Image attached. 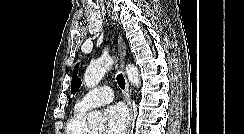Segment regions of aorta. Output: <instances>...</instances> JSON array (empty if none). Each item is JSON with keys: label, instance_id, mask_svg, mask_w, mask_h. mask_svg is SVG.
Masks as SVG:
<instances>
[{"label": "aorta", "instance_id": "1", "mask_svg": "<svg viewBox=\"0 0 244 134\" xmlns=\"http://www.w3.org/2000/svg\"><path fill=\"white\" fill-rule=\"evenodd\" d=\"M114 60L111 57H101L100 59L91 62L84 74V83L87 88H94L104 77L107 70L111 67ZM128 80L136 87L141 84L138 68L134 65L126 67ZM87 121L91 126L103 127L105 124L104 118L100 112L92 111L88 114Z\"/></svg>", "mask_w": 244, "mask_h": 134}]
</instances>
